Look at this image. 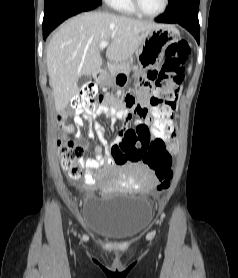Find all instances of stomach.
I'll return each mask as SVG.
<instances>
[{
  "label": "stomach",
  "mask_w": 238,
  "mask_h": 278,
  "mask_svg": "<svg viewBox=\"0 0 238 278\" xmlns=\"http://www.w3.org/2000/svg\"><path fill=\"white\" fill-rule=\"evenodd\" d=\"M179 31L173 25H160L145 33V38L137 51L138 64L141 69L159 65L163 60L166 48L178 40ZM121 74L116 77L108 72H100L96 77V82L103 86H128V82L133 78L132 70H120Z\"/></svg>",
  "instance_id": "stomach-1"
}]
</instances>
